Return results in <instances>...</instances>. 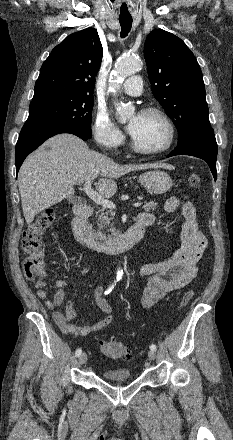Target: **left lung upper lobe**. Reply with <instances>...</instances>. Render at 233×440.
Returning <instances> with one entry per match:
<instances>
[{"label": "left lung upper lobe", "instance_id": "obj_1", "mask_svg": "<svg viewBox=\"0 0 233 440\" xmlns=\"http://www.w3.org/2000/svg\"><path fill=\"white\" fill-rule=\"evenodd\" d=\"M152 92L178 130V143L211 128L200 66L185 43L155 29L144 46Z\"/></svg>", "mask_w": 233, "mask_h": 440}]
</instances>
